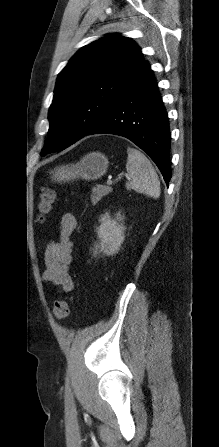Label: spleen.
<instances>
[{
  "instance_id": "spleen-1",
  "label": "spleen",
  "mask_w": 219,
  "mask_h": 447,
  "mask_svg": "<svg viewBox=\"0 0 219 447\" xmlns=\"http://www.w3.org/2000/svg\"><path fill=\"white\" fill-rule=\"evenodd\" d=\"M126 170L129 174V181L126 184L128 190L133 189L155 199L160 196L158 175L143 153L128 148Z\"/></svg>"
}]
</instances>
